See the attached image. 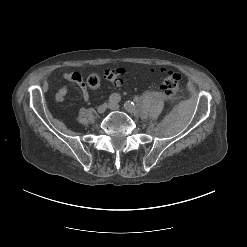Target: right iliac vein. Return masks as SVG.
<instances>
[{
  "mask_svg": "<svg viewBox=\"0 0 247 247\" xmlns=\"http://www.w3.org/2000/svg\"><path fill=\"white\" fill-rule=\"evenodd\" d=\"M107 107H108V105L106 103H104V104L97 107V112L99 114H103L106 111Z\"/></svg>",
  "mask_w": 247,
  "mask_h": 247,
  "instance_id": "1",
  "label": "right iliac vein"
}]
</instances>
